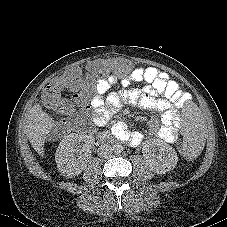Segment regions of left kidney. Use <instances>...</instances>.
<instances>
[{"label":"left kidney","mask_w":227,"mask_h":227,"mask_svg":"<svg viewBox=\"0 0 227 227\" xmlns=\"http://www.w3.org/2000/svg\"><path fill=\"white\" fill-rule=\"evenodd\" d=\"M143 156L157 174H165L174 169L178 162L176 151L160 139H149L144 145Z\"/></svg>","instance_id":"obj_1"}]
</instances>
